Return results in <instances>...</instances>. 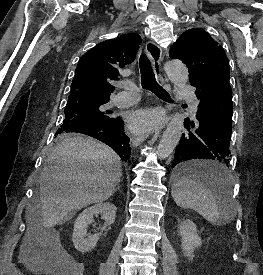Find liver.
<instances>
[{"label":"liver","mask_w":263,"mask_h":275,"mask_svg":"<svg viewBox=\"0 0 263 275\" xmlns=\"http://www.w3.org/2000/svg\"><path fill=\"white\" fill-rule=\"evenodd\" d=\"M121 176L120 158L111 148L90 138H66L48 157L39 200L29 204L27 213L37 210L45 227L63 224L76 211L110 198Z\"/></svg>","instance_id":"1"}]
</instances>
